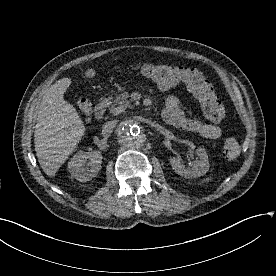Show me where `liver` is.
<instances>
[{"mask_svg": "<svg viewBox=\"0 0 276 276\" xmlns=\"http://www.w3.org/2000/svg\"><path fill=\"white\" fill-rule=\"evenodd\" d=\"M71 82L68 77L56 81L37 106L35 151L41 168L50 177L55 176L85 135L78 112L63 98Z\"/></svg>", "mask_w": 276, "mask_h": 276, "instance_id": "6515ba94", "label": "liver"}]
</instances>
